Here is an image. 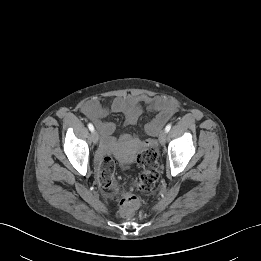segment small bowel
<instances>
[{
  "label": "small bowel",
  "mask_w": 261,
  "mask_h": 261,
  "mask_svg": "<svg viewBox=\"0 0 261 261\" xmlns=\"http://www.w3.org/2000/svg\"><path fill=\"white\" fill-rule=\"evenodd\" d=\"M143 105L157 113L155 119L146 127L151 135H156L177 110L176 104L167 98L126 95L113 98L107 105H103L98 99H90L82 106V112L94 123L106 140L105 148H107L111 144L109 137L115 131V124L105 118L110 113H120L127 124L133 125L139 120Z\"/></svg>",
  "instance_id": "small-bowel-1"
}]
</instances>
